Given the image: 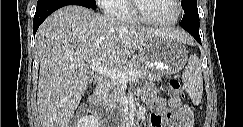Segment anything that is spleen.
<instances>
[{
  "mask_svg": "<svg viewBox=\"0 0 243 127\" xmlns=\"http://www.w3.org/2000/svg\"><path fill=\"white\" fill-rule=\"evenodd\" d=\"M182 81L192 103L198 105L203 95V77L201 61L197 55H192L188 59V64L182 74Z\"/></svg>",
  "mask_w": 243,
  "mask_h": 127,
  "instance_id": "spleen-1",
  "label": "spleen"
}]
</instances>
